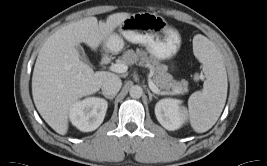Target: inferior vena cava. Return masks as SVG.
Here are the masks:
<instances>
[{"label":"inferior vena cava","mask_w":267,"mask_h":166,"mask_svg":"<svg viewBox=\"0 0 267 166\" xmlns=\"http://www.w3.org/2000/svg\"><path fill=\"white\" fill-rule=\"evenodd\" d=\"M122 86L121 79L117 76L107 78L102 86V92L107 96H115Z\"/></svg>","instance_id":"602c4592"}]
</instances>
